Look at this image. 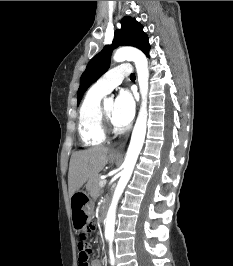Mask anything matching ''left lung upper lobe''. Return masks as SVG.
I'll return each instance as SVG.
<instances>
[{
    "label": "left lung upper lobe",
    "instance_id": "1",
    "mask_svg": "<svg viewBox=\"0 0 233 266\" xmlns=\"http://www.w3.org/2000/svg\"><path fill=\"white\" fill-rule=\"evenodd\" d=\"M142 29L143 26L132 17H123L121 29L115 31L112 45L105 46L100 53L94 56L82 74L78 90V104L87 88L109 68L111 53L114 48L120 45H130L144 53L150 49L148 37Z\"/></svg>",
    "mask_w": 233,
    "mask_h": 266
}]
</instances>
